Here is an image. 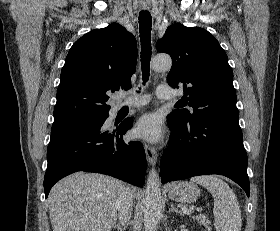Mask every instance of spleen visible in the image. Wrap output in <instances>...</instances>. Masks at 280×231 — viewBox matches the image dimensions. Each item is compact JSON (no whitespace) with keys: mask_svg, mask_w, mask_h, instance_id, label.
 <instances>
[{"mask_svg":"<svg viewBox=\"0 0 280 231\" xmlns=\"http://www.w3.org/2000/svg\"><path fill=\"white\" fill-rule=\"evenodd\" d=\"M191 181H197L207 187L214 197L213 213L215 223L221 231H240L242 225L239 201L226 181L219 175H196Z\"/></svg>","mask_w":280,"mask_h":231,"instance_id":"spleen-1","label":"spleen"}]
</instances>
